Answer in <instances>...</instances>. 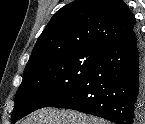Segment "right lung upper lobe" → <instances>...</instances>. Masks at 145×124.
Segmentation results:
<instances>
[{
  "mask_svg": "<svg viewBox=\"0 0 145 124\" xmlns=\"http://www.w3.org/2000/svg\"><path fill=\"white\" fill-rule=\"evenodd\" d=\"M123 0H76L62 7L39 36L24 74L59 57L93 51L101 53L135 28Z\"/></svg>",
  "mask_w": 145,
  "mask_h": 124,
  "instance_id": "1",
  "label": "right lung upper lobe"
}]
</instances>
